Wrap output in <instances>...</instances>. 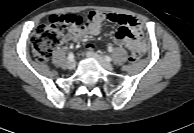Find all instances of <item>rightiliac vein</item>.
Instances as JSON below:
<instances>
[{"instance_id": "right-iliac-vein-1", "label": "right iliac vein", "mask_w": 194, "mask_h": 133, "mask_svg": "<svg viewBox=\"0 0 194 133\" xmlns=\"http://www.w3.org/2000/svg\"><path fill=\"white\" fill-rule=\"evenodd\" d=\"M75 65H76V63H75L74 60H73V61H69V62L67 63V68L70 69V70H72V69L75 68Z\"/></svg>"}]
</instances>
